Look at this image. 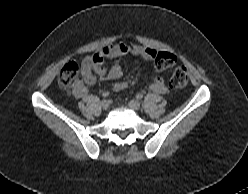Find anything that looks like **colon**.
<instances>
[{
  "label": "colon",
  "instance_id": "1",
  "mask_svg": "<svg viewBox=\"0 0 248 194\" xmlns=\"http://www.w3.org/2000/svg\"><path fill=\"white\" fill-rule=\"evenodd\" d=\"M155 67L159 71H166L170 74V86L174 89H181L188 83L187 70L182 66H176V58L167 52H155ZM79 80V65L75 61H68L62 68L59 76V85L63 89H69ZM132 81H121L114 84L116 90L132 86Z\"/></svg>",
  "mask_w": 248,
  "mask_h": 194
}]
</instances>
